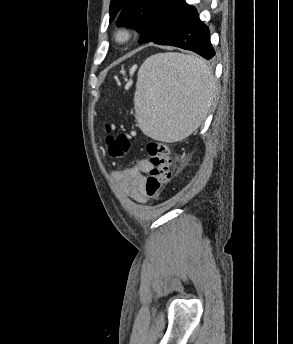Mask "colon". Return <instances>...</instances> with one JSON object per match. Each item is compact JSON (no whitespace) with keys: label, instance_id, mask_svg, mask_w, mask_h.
I'll use <instances>...</instances> for the list:
<instances>
[{"label":"colon","instance_id":"obj_1","mask_svg":"<svg viewBox=\"0 0 293 344\" xmlns=\"http://www.w3.org/2000/svg\"><path fill=\"white\" fill-rule=\"evenodd\" d=\"M106 142L112 158H121L129 152L130 141L123 133L117 136L108 135ZM146 152L152 169L145 178L144 189L146 195L154 199L160 195L163 187L171 179L172 159L170 156V148L164 142H148Z\"/></svg>","mask_w":293,"mask_h":344}]
</instances>
